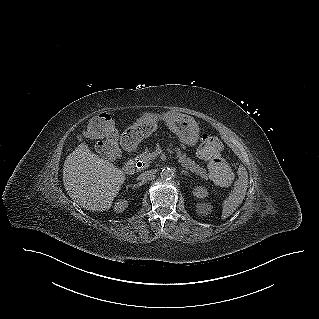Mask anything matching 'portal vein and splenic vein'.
<instances>
[{"instance_id": "obj_1", "label": "portal vein and splenic vein", "mask_w": 319, "mask_h": 319, "mask_svg": "<svg viewBox=\"0 0 319 319\" xmlns=\"http://www.w3.org/2000/svg\"><path fill=\"white\" fill-rule=\"evenodd\" d=\"M161 152H154V156H157L158 154H160Z\"/></svg>"}]
</instances>
